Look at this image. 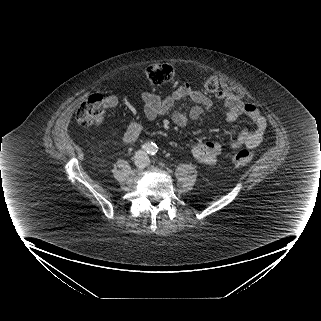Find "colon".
Wrapping results in <instances>:
<instances>
[{
    "label": "colon",
    "mask_w": 321,
    "mask_h": 321,
    "mask_svg": "<svg viewBox=\"0 0 321 321\" xmlns=\"http://www.w3.org/2000/svg\"><path fill=\"white\" fill-rule=\"evenodd\" d=\"M174 76V68L170 64H154L146 69V77L152 84H162L170 81ZM209 93L219 90V80L215 76L207 78L203 84ZM106 114V102L99 93L90 95L78 108L75 120L83 127L96 126L104 122ZM253 159L248 150H240L233 154L231 161L236 166H246Z\"/></svg>",
    "instance_id": "colon-1"
}]
</instances>
